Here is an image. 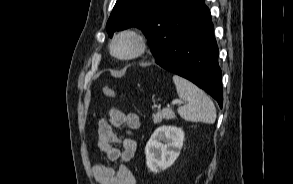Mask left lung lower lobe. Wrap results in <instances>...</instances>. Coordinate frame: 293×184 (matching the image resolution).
<instances>
[{"label": "left lung lower lobe", "instance_id": "obj_1", "mask_svg": "<svg viewBox=\"0 0 293 184\" xmlns=\"http://www.w3.org/2000/svg\"><path fill=\"white\" fill-rule=\"evenodd\" d=\"M155 62L205 90L222 107L221 69L211 14L204 0H183L174 9L170 28Z\"/></svg>", "mask_w": 293, "mask_h": 184}]
</instances>
